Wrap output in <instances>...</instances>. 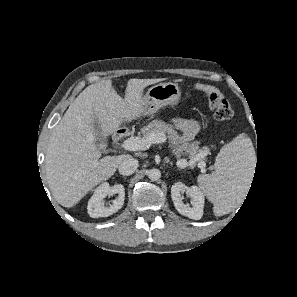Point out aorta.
<instances>
[{
	"label": "aorta",
	"mask_w": 297,
	"mask_h": 297,
	"mask_svg": "<svg viewBox=\"0 0 297 297\" xmlns=\"http://www.w3.org/2000/svg\"><path fill=\"white\" fill-rule=\"evenodd\" d=\"M160 177H161V172H160L159 169L153 168V169L149 170V172H148V178L150 180L157 181V180L160 179Z\"/></svg>",
	"instance_id": "aorta-1"
}]
</instances>
